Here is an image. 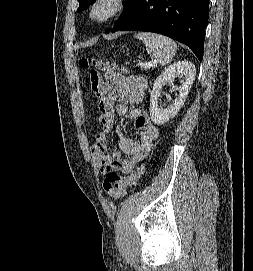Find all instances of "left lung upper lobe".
Returning <instances> with one entry per match:
<instances>
[{"instance_id": "left-lung-upper-lobe-1", "label": "left lung upper lobe", "mask_w": 253, "mask_h": 271, "mask_svg": "<svg viewBox=\"0 0 253 271\" xmlns=\"http://www.w3.org/2000/svg\"><path fill=\"white\" fill-rule=\"evenodd\" d=\"M79 1V8L77 9V12H81L85 10L89 5H91L95 0H78ZM134 1L135 0H126V3L124 5V11L118 21L115 24V27L113 31L120 26L130 15L133 7H134Z\"/></svg>"}]
</instances>
